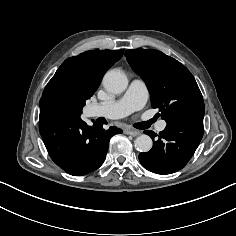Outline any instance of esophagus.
I'll return each mask as SVG.
<instances>
[{"instance_id": "esophagus-1", "label": "esophagus", "mask_w": 236, "mask_h": 236, "mask_svg": "<svg viewBox=\"0 0 236 236\" xmlns=\"http://www.w3.org/2000/svg\"><path fill=\"white\" fill-rule=\"evenodd\" d=\"M126 134H128V135H131V136L135 137V136H138V135H140V134H141V132H140V131H138V130H127V131H126Z\"/></svg>"}]
</instances>
